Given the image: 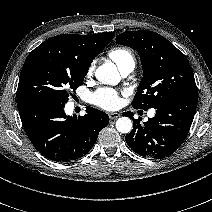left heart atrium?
<instances>
[{"label": "left heart atrium", "mask_w": 212, "mask_h": 212, "mask_svg": "<svg viewBox=\"0 0 212 212\" xmlns=\"http://www.w3.org/2000/svg\"><path fill=\"white\" fill-rule=\"evenodd\" d=\"M91 101L93 104L108 110L115 109L120 103L118 92L110 88L98 89L92 94Z\"/></svg>", "instance_id": "left-heart-atrium-1"}]
</instances>
